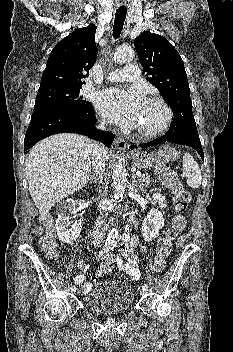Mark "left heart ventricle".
Instances as JSON below:
<instances>
[{
	"label": "left heart ventricle",
	"instance_id": "1",
	"mask_svg": "<svg viewBox=\"0 0 233 352\" xmlns=\"http://www.w3.org/2000/svg\"><path fill=\"white\" fill-rule=\"evenodd\" d=\"M163 118L164 111L159 104L144 100L136 127L139 129H152L158 126Z\"/></svg>",
	"mask_w": 233,
	"mask_h": 352
}]
</instances>
